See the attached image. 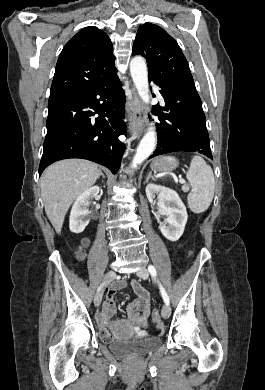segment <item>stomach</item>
Returning <instances> with one entry per match:
<instances>
[{"instance_id":"obj_1","label":"stomach","mask_w":265,"mask_h":390,"mask_svg":"<svg viewBox=\"0 0 265 390\" xmlns=\"http://www.w3.org/2000/svg\"><path fill=\"white\" fill-rule=\"evenodd\" d=\"M178 166V160L172 156H161L154 159L151 168L157 172H171Z\"/></svg>"}]
</instances>
